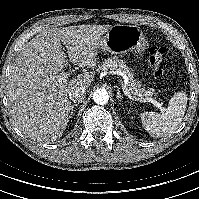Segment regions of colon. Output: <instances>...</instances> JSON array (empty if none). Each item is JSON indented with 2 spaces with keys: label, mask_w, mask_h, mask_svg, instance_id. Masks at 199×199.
Returning <instances> with one entry per match:
<instances>
[{
  "label": "colon",
  "mask_w": 199,
  "mask_h": 199,
  "mask_svg": "<svg viewBox=\"0 0 199 199\" xmlns=\"http://www.w3.org/2000/svg\"><path fill=\"white\" fill-rule=\"evenodd\" d=\"M166 53L165 47H151L149 49V64L152 72L156 78L162 79L165 76L166 65L162 59L163 55Z\"/></svg>",
  "instance_id": "1"
}]
</instances>
